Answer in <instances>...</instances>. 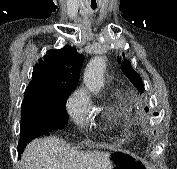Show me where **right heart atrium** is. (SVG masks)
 Returning a JSON list of instances; mask_svg holds the SVG:
<instances>
[{"label":"right heart atrium","mask_w":177,"mask_h":169,"mask_svg":"<svg viewBox=\"0 0 177 169\" xmlns=\"http://www.w3.org/2000/svg\"><path fill=\"white\" fill-rule=\"evenodd\" d=\"M91 108L90 99L82 89L76 90L66 103L69 116L78 126H84L88 122Z\"/></svg>","instance_id":"right-heart-atrium-1"}]
</instances>
